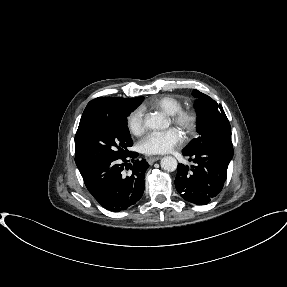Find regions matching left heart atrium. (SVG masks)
<instances>
[{
	"mask_svg": "<svg viewBox=\"0 0 287 287\" xmlns=\"http://www.w3.org/2000/svg\"><path fill=\"white\" fill-rule=\"evenodd\" d=\"M182 142L180 132L171 128L161 132L149 133L139 144L141 152L147 155H160L173 150Z\"/></svg>",
	"mask_w": 287,
	"mask_h": 287,
	"instance_id": "obj_1",
	"label": "left heart atrium"
}]
</instances>
